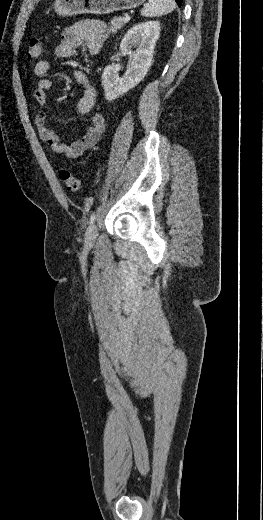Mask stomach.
<instances>
[{"instance_id":"1","label":"stomach","mask_w":263,"mask_h":520,"mask_svg":"<svg viewBox=\"0 0 263 520\" xmlns=\"http://www.w3.org/2000/svg\"><path fill=\"white\" fill-rule=\"evenodd\" d=\"M143 2L144 0H55L53 8L62 17L84 13L101 15L133 9Z\"/></svg>"}]
</instances>
